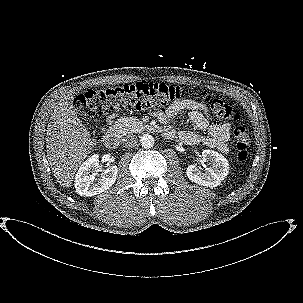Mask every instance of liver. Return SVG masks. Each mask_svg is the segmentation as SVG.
Here are the masks:
<instances>
[{
    "instance_id": "6515ba94",
    "label": "liver",
    "mask_w": 303,
    "mask_h": 303,
    "mask_svg": "<svg viewBox=\"0 0 303 303\" xmlns=\"http://www.w3.org/2000/svg\"><path fill=\"white\" fill-rule=\"evenodd\" d=\"M73 91L62 95L47 126V157L57 182L68 188L75 173L94 148L90 132L73 110Z\"/></svg>"
}]
</instances>
